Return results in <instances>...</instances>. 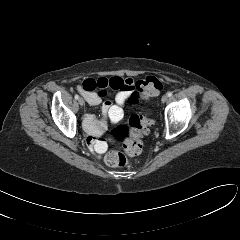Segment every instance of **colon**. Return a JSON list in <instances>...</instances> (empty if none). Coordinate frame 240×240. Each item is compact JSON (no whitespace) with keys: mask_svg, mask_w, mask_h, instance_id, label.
Segmentation results:
<instances>
[{"mask_svg":"<svg viewBox=\"0 0 240 240\" xmlns=\"http://www.w3.org/2000/svg\"><path fill=\"white\" fill-rule=\"evenodd\" d=\"M163 89L162 82L154 77L147 76L134 84V93L129 99L131 104L138 102L140 98H152ZM153 121L145 113L138 109L126 124L116 126L110 133V139L123 146L129 156L139 155L142 151V138L152 126ZM105 161L112 167H124L128 163L126 155L116 149L109 150L105 155Z\"/></svg>","mask_w":240,"mask_h":240,"instance_id":"1","label":"colon"}]
</instances>
